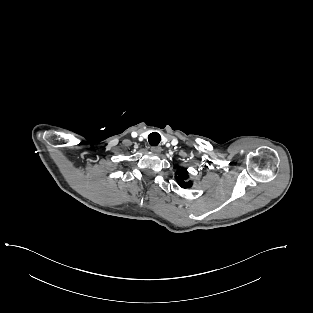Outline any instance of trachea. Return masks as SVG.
<instances>
[{"instance_id":"3493384b","label":"trachea","mask_w":313,"mask_h":313,"mask_svg":"<svg viewBox=\"0 0 313 313\" xmlns=\"http://www.w3.org/2000/svg\"><path fill=\"white\" fill-rule=\"evenodd\" d=\"M148 141L151 146H157L161 141V136L157 132H152L148 136Z\"/></svg>"}]
</instances>
